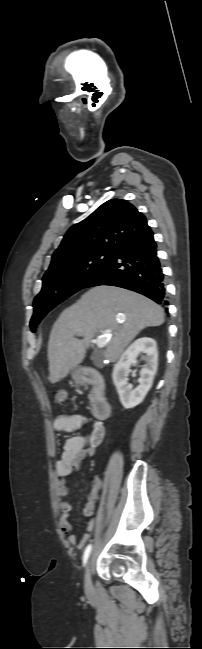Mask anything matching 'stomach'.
<instances>
[{
	"label": "stomach",
	"mask_w": 202,
	"mask_h": 649,
	"mask_svg": "<svg viewBox=\"0 0 202 649\" xmlns=\"http://www.w3.org/2000/svg\"><path fill=\"white\" fill-rule=\"evenodd\" d=\"M76 371H77L76 368H72V377H73V379H74L75 381H77V380H76Z\"/></svg>",
	"instance_id": "stomach-1"
}]
</instances>
